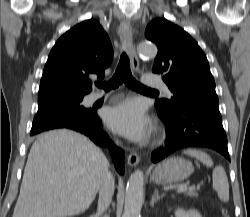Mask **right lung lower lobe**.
<instances>
[{"instance_id":"right-lung-lower-lobe-1","label":"right lung lower lobe","mask_w":250,"mask_h":217,"mask_svg":"<svg viewBox=\"0 0 250 217\" xmlns=\"http://www.w3.org/2000/svg\"><path fill=\"white\" fill-rule=\"evenodd\" d=\"M62 128L75 130L77 132L87 135L94 143L99 146H107L110 148L112 159L117 171L122 174L124 171V152L122 149L116 147L110 140L108 135L103 132L101 120L94 111V118L91 122L80 125H70Z\"/></svg>"}]
</instances>
